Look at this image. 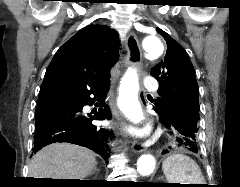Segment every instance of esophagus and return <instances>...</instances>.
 I'll return each instance as SVG.
<instances>
[{
  "label": "esophagus",
  "mask_w": 240,
  "mask_h": 187,
  "mask_svg": "<svg viewBox=\"0 0 240 187\" xmlns=\"http://www.w3.org/2000/svg\"><path fill=\"white\" fill-rule=\"evenodd\" d=\"M127 56L125 59L126 66H139L141 63V48L137 36L133 32H129L126 37ZM132 150L134 152H143L147 149L145 143L134 140L132 142Z\"/></svg>",
  "instance_id": "esophagus-1"
}]
</instances>
